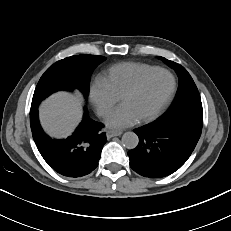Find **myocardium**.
I'll return each instance as SVG.
<instances>
[{
  "label": "myocardium",
  "instance_id": "1",
  "mask_svg": "<svg viewBox=\"0 0 231 231\" xmlns=\"http://www.w3.org/2000/svg\"><path fill=\"white\" fill-rule=\"evenodd\" d=\"M159 72H165L167 74H169L172 78V88L171 91L169 92L168 96L165 98V100L162 102V104L150 115L145 116L143 118L139 119V122L141 123H146V122H150L152 120H154L155 118H157L164 110L165 108L168 106V104L171 102V100L173 99L176 90H177V80L175 75L168 69L165 68H156L148 73H146L145 75H143L142 77H140L131 87H129L125 93L121 96V101L123 102V100L125 98H127L128 96L136 93L144 84L145 82L152 77L153 75H155L156 73Z\"/></svg>",
  "mask_w": 231,
  "mask_h": 231
}]
</instances>
